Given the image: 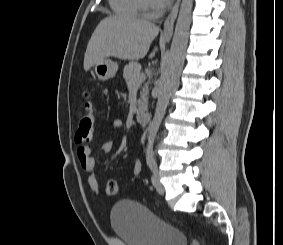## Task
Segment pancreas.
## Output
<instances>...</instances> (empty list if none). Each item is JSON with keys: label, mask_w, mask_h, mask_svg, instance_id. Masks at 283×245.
I'll return each mask as SVG.
<instances>
[{"label": "pancreas", "mask_w": 283, "mask_h": 245, "mask_svg": "<svg viewBox=\"0 0 283 245\" xmlns=\"http://www.w3.org/2000/svg\"><path fill=\"white\" fill-rule=\"evenodd\" d=\"M140 75H142L141 65L138 62L132 61L124 67L123 77L129 89L133 87L134 85L141 84V82L140 83L137 82V79ZM148 92H149L148 84H145L142 87V91L140 92V99L138 100L137 113L146 108L147 101H148V97H147Z\"/></svg>", "instance_id": "pancreas-1"}]
</instances>
